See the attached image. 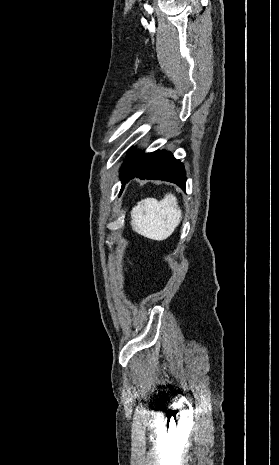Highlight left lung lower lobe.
<instances>
[{"label":"left lung lower lobe","mask_w":279,"mask_h":465,"mask_svg":"<svg viewBox=\"0 0 279 465\" xmlns=\"http://www.w3.org/2000/svg\"><path fill=\"white\" fill-rule=\"evenodd\" d=\"M135 177L169 181L185 190L186 176L183 164L179 160H176L170 152L165 150L156 151L150 160L132 175L129 180Z\"/></svg>","instance_id":"1"}]
</instances>
